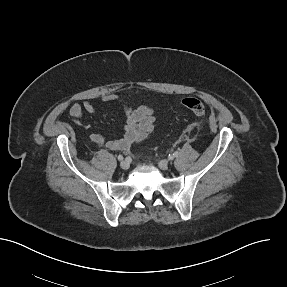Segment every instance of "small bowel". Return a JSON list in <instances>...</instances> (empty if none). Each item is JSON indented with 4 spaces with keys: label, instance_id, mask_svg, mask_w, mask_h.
<instances>
[{
    "label": "small bowel",
    "instance_id": "obj_1",
    "mask_svg": "<svg viewBox=\"0 0 287 287\" xmlns=\"http://www.w3.org/2000/svg\"><path fill=\"white\" fill-rule=\"evenodd\" d=\"M120 103L123 110L124 134L118 139H107L103 134H92L90 141L99 146H105L113 151H127L132 145L144 139L153 129L154 112L148 106L132 108L125 104L121 97L117 95H105L101 98V103ZM69 115L79 127H82V119L85 113L92 114L96 111V106L85 101L82 104L74 103L69 106Z\"/></svg>",
    "mask_w": 287,
    "mask_h": 287
}]
</instances>
